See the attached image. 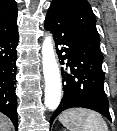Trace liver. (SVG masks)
Instances as JSON below:
<instances>
[{
  "label": "liver",
  "instance_id": "1",
  "mask_svg": "<svg viewBox=\"0 0 117 131\" xmlns=\"http://www.w3.org/2000/svg\"><path fill=\"white\" fill-rule=\"evenodd\" d=\"M0 131H11V123L2 113H0Z\"/></svg>",
  "mask_w": 117,
  "mask_h": 131
}]
</instances>
